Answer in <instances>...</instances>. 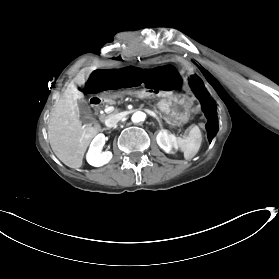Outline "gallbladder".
<instances>
[{
	"instance_id": "bac80fb5",
	"label": "gallbladder",
	"mask_w": 279,
	"mask_h": 279,
	"mask_svg": "<svg viewBox=\"0 0 279 279\" xmlns=\"http://www.w3.org/2000/svg\"><path fill=\"white\" fill-rule=\"evenodd\" d=\"M78 107L80 109V118L83 123H91L93 116L91 109L85 100L78 101Z\"/></svg>"
}]
</instances>
